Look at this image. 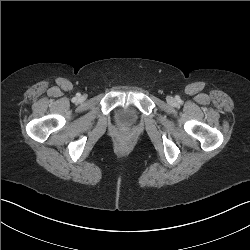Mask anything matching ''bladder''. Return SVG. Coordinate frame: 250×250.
Masks as SVG:
<instances>
[{
	"label": "bladder",
	"mask_w": 250,
	"mask_h": 250,
	"mask_svg": "<svg viewBox=\"0 0 250 250\" xmlns=\"http://www.w3.org/2000/svg\"><path fill=\"white\" fill-rule=\"evenodd\" d=\"M117 117L121 124L131 125L136 120V111L132 107H121L117 111Z\"/></svg>",
	"instance_id": "1"
}]
</instances>
